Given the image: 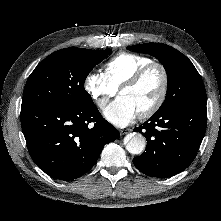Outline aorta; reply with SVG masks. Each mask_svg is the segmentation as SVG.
Instances as JSON below:
<instances>
[{"mask_svg":"<svg viewBox=\"0 0 221 221\" xmlns=\"http://www.w3.org/2000/svg\"><path fill=\"white\" fill-rule=\"evenodd\" d=\"M145 147L146 139L140 133H134L126 144L127 151L134 155L141 154L145 150Z\"/></svg>","mask_w":221,"mask_h":221,"instance_id":"aorta-1","label":"aorta"}]
</instances>
